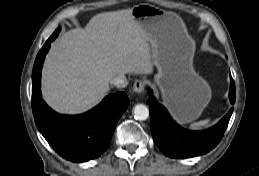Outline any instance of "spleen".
<instances>
[{"label":"spleen","mask_w":259,"mask_h":176,"mask_svg":"<svg viewBox=\"0 0 259 176\" xmlns=\"http://www.w3.org/2000/svg\"><path fill=\"white\" fill-rule=\"evenodd\" d=\"M210 121H211L210 119H205L199 122H194L190 124L189 128L192 130H201L208 127V125L210 124Z\"/></svg>","instance_id":"1"}]
</instances>
